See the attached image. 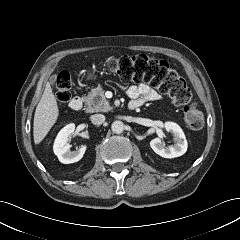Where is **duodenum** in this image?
Masks as SVG:
<instances>
[{"mask_svg":"<svg viewBox=\"0 0 240 240\" xmlns=\"http://www.w3.org/2000/svg\"><path fill=\"white\" fill-rule=\"evenodd\" d=\"M82 104H83V100L81 97L77 96V97H74L70 103H69V108L72 110V111H78L81 109L82 107ZM138 108V105L135 103V102H130L128 104V109L129 110H135Z\"/></svg>","mask_w":240,"mask_h":240,"instance_id":"410a0bca","label":"duodenum"}]
</instances>
